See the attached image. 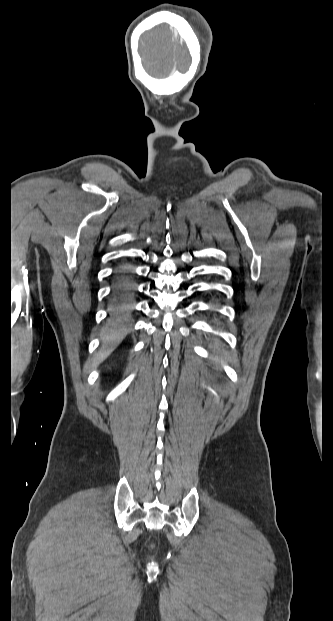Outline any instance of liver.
Here are the masks:
<instances>
[{"instance_id":"liver-1","label":"liver","mask_w":333,"mask_h":621,"mask_svg":"<svg viewBox=\"0 0 333 621\" xmlns=\"http://www.w3.org/2000/svg\"><path fill=\"white\" fill-rule=\"evenodd\" d=\"M117 321H121V319H117ZM127 333L128 330L118 327L116 322L113 321L111 324H109V326L102 331L101 336L103 347L96 354L92 362V366L95 367L103 362L122 342Z\"/></svg>"}]
</instances>
